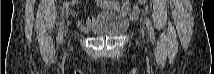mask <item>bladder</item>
Masks as SVG:
<instances>
[{"label":"bladder","instance_id":"1","mask_svg":"<svg viewBox=\"0 0 214 74\" xmlns=\"http://www.w3.org/2000/svg\"><path fill=\"white\" fill-rule=\"evenodd\" d=\"M129 26L127 18L123 16L121 9L107 10L98 16L97 21L91 28V32L100 36H119Z\"/></svg>","mask_w":214,"mask_h":74}]
</instances>
